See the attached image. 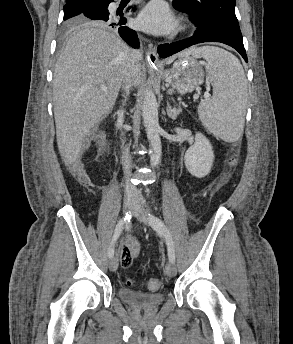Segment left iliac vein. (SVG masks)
<instances>
[{
    "mask_svg": "<svg viewBox=\"0 0 293 344\" xmlns=\"http://www.w3.org/2000/svg\"><path fill=\"white\" fill-rule=\"evenodd\" d=\"M134 216L141 222L147 223L148 222V213L145 208L142 206L141 203H138L136 208L134 209ZM165 273L169 277H174L177 273L176 267L174 263L169 262L165 266Z\"/></svg>",
    "mask_w": 293,
    "mask_h": 344,
    "instance_id": "left-iliac-vein-1",
    "label": "left iliac vein"
}]
</instances>
